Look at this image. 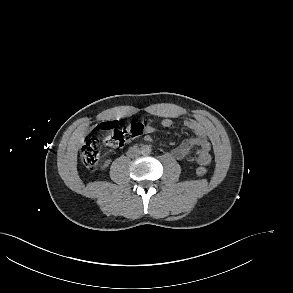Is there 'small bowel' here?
Listing matches in <instances>:
<instances>
[{
    "instance_id": "c3829d8e",
    "label": "small bowel",
    "mask_w": 293,
    "mask_h": 293,
    "mask_svg": "<svg viewBox=\"0 0 293 293\" xmlns=\"http://www.w3.org/2000/svg\"><path fill=\"white\" fill-rule=\"evenodd\" d=\"M172 125V120L169 118L161 119L158 126L169 128ZM184 125L192 131V136L185 139L179 146L172 150V155L180 161L190 164L207 165L211 161V144L207 139V132L205 126L193 119H186ZM155 130L150 127L148 132L151 133ZM196 148L197 151L194 155L190 156V150Z\"/></svg>"
}]
</instances>
